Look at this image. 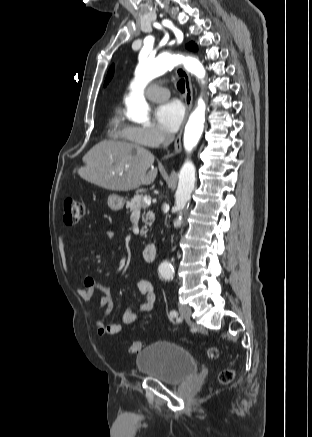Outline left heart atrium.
Listing matches in <instances>:
<instances>
[{
  "instance_id": "39dd6f15",
  "label": "left heart atrium",
  "mask_w": 312,
  "mask_h": 437,
  "mask_svg": "<svg viewBox=\"0 0 312 437\" xmlns=\"http://www.w3.org/2000/svg\"><path fill=\"white\" fill-rule=\"evenodd\" d=\"M155 117L161 129L174 133L183 120V106L178 101L165 102L157 108Z\"/></svg>"
}]
</instances>
